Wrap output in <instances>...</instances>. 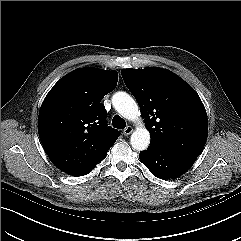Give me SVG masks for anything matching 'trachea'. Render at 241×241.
Here are the masks:
<instances>
[{
	"label": "trachea",
	"instance_id": "1",
	"mask_svg": "<svg viewBox=\"0 0 241 241\" xmlns=\"http://www.w3.org/2000/svg\"><path fill=\"white\" fill-rule=\"evenodd\" d=\"M112 125H113L114 128L123 129V128L126 127V122L123 118L116 115V116L113 117Z\"/></svg>",
	"mask_w": 241,
	"mask_h": 241
}]
</instances>
